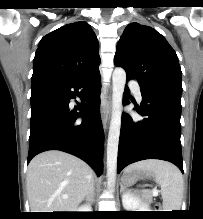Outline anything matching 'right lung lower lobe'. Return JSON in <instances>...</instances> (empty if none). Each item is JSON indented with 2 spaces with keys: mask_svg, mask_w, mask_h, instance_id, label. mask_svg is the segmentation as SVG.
<instances>
[{
  "mask_svg": "<svg viewBox=\"0 0 203 219\" xmlns=\"http://www.w3.org/2000/svg\"><path fill=\"white\" fill-rule=\"evenodd\" d=\"M100 92L99 71L84 77L32 82L27 162L43 151L61 150L87 162L100 176L104 136ZM76 96L81 103L72 107L70 99Z\"/></svg>",
  "mask_w": 203,
  "mask_h": 219,
  "instance_id": "obj_1",
  "label": "right lung lower lobe"
}]
</instances>
